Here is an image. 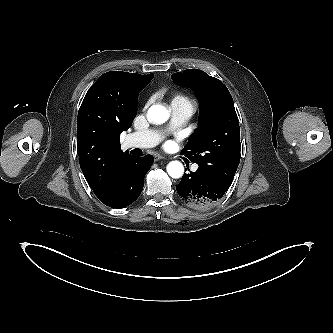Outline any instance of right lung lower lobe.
<instances>
[{"label": "right lung lower lobe", "mask_w": 333, "mask_h": 333, "mask_svg": "<svg viewBox=\"0 0 333 333\" xmlns=\"http://www.w3.org/2000/svg\"><path fill=\"white\" fill-rule=\"evenodd\" d=\"M152 157H135L129 155L119 168L112 190L99 198L112 208H124L132 204L141 194L144 177L152 165Z\"/></svg>", "instance_id": "98d812e1"}]
</instances>
